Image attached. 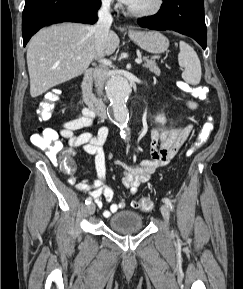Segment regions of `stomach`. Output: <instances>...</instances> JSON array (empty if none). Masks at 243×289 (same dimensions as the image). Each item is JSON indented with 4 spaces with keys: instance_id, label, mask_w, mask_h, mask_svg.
<instances>
[{
    "instance_id": "stomach-1",
    "label": "stomach",
    "mask_w": 243,
    "mask_h": 289,
    "mask_svg": "<svg viewBox=\"0 0 243 289\" xmlns=\"http://www.w3.org/2000/svg\"><path fill=\"white\" fill-rule=\"evenodd\" d=\"M130 39L145 51L153 54L163 53L169 47V40L158 31H132Z\"/></svg>"
}]
</instances>
